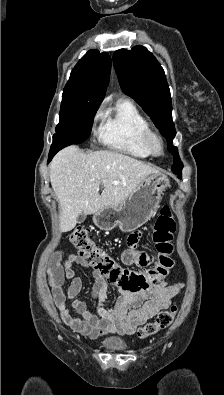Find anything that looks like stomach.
<instances>
[{
	"label": "stomach",
	"mask_w": 224,
	"mask_h": 395,
	"mask_svg": "<svg viewBox=\"0 0 224 395\" xmlns=\"http://www.w3.org/2000/svg\"><path fill=\"white\" fill-rule=\"evenodd\" d=\"M167 187H170L167 175L156 171L146 176L121 203L96 212L93 222L102 230H112L118 226L123 232H132L155 215Z\"/></svg>",
	"instance_id": "obj_1"
}]
</instances>
